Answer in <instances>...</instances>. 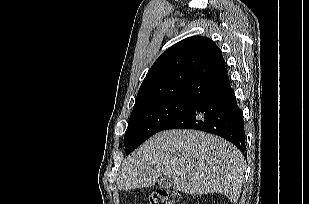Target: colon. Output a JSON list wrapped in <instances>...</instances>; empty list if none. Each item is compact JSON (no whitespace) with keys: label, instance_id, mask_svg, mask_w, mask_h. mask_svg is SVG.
<instances>
[{"label":"colon","instance_id":"colon-1","mask_svg":"<svg viewBox=\"0 0 309 204\" xmlns=\"http://www.w3.org/2000/svg\"><path fill=\"white\" fill-rule=\"evenodd\" d=\"M178 194L168 189H158L148 199V204H176Z\"/></svg>","mask_w":309,"mask_h":204}]
</instances>
